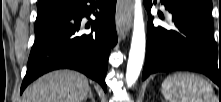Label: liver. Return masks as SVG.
Wrapping results in <instances>:
<instances>
[{"label":"liver","instance_id":"1","mask_svg":"<svg viewBox=\"0 0 221 102\" xmlns=\"http://www.w3.org/2000/svg\"><path fill=\"white\" fill-rule=\"evenodd\" d=\"M89 90L84 75L71 70H57L29 86L23 93V102H83Z\"/></svg>","mask_w":221,"mask_h":102}]
</instances>
